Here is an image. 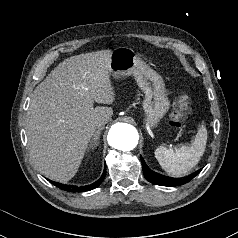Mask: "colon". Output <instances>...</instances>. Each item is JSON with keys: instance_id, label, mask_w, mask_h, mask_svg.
I'll return each instance as SVG.
<instances>
[{"instance_id": "obj_1", "label": "colon", "mask_w": 238, "mask_h": 238, "mask_svg": "<svg viewBox=\"0 0 238 238\" xmlns=\"http://www.w3.org/2000/svg\"><path fill=\"white\" fill-rule=\"evenodd\" d=\"M192 109V100L186 93H182L173 104L169 123L171 126L181 128L185 125L186 120Z\"/></svg>"}]
</instances>
